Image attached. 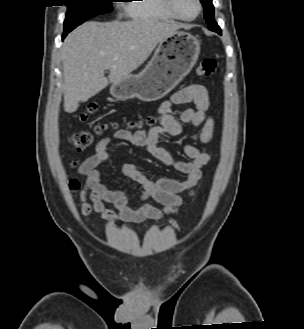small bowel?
Here are the masks:
<instances>
[{
    "instance_id": "small-bowel-1",
    "label": "small bowel",
    "mask_w": 304,
    "mask_h": 329,
    "mask_svg": "<svg viewBox=\"0 0 304 329\" xmlns=\"http://www.w3.org/2000/svg\"><path fill=\"white\" fill-rule=\"evenodd\" d=\"M193 102L195 107L184 110L179 118L172 115L174 105ZM210 108V97L205 86L194 84L174 93L164 101L157 112L159 125L149 131L130 132L119 129L112 135L101 137L94 148V154L83 162L75 159L72 163L77 171L86 177V184L80 192L81 213L88 222L89 215L94 211L110 223H142L146 220H161L166 215L173 214L183 204L180 193L189 191L193 195V189L202 176L203 168L208 165L210 157L197 146L187 143L184 153L188 159L180 160L172 157L159 145L161 136L178 137L185 125L190 124L203 143L210 142L215 122L207 112ZM123 141L136 146H144L165 166L185 175V179L179 180L163 177L151 179L145 172L132 163H125L121 169V175L135 182L140 188L139 201L143 204L138 208L131 206L132 198L125 189L111 190L99 171L98 167L108 163L112 157L108 151L113 141ZM111 181L110 183H114ZM153 199L163 205L157 208L149 203ZM91 201V204L89 203ZM104 202L113 204L118 214L105 208Z\"/></svg>"
}]
</instances>
